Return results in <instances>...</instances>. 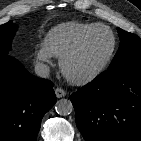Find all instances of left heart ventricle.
<instances>
[{
	"instance_id": "left-heart-ventricle-1",
	"label": "left heart ventricle",
	"mask_w": 141,
	"mask_h": 141,
	"mask_svg": "<svg viewBox=\"0 0 141 141\" xmlns=\"http://www.w3.org/2000/svg\"><path fill=\"white\" fill-rule=\"evenodd\" d=\"M111 44L112 38L107 30H95L68 63L69 72L73 75L90 72L104 60L111 48Z\"/></svg>"
}]
</instances>
